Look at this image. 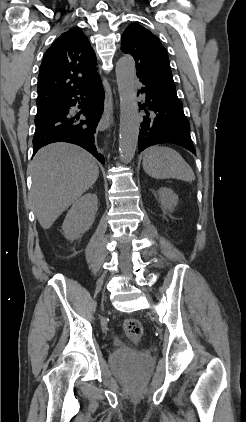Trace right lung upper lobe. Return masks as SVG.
I'll list each match as a JSON object with an SVG mask.
<instances>
[{
  "label": "right lung upper lobe",
  "instance_id": "obj_1",
  "mask_svg": "<svg viewBox=\"0 0 246 422\" xmlns=\"http://www.w3.org/2000/svg\"><path fill=\"white\" fill-rule=\"evenodd\" d=\"M96 61L81 29H70L58 37L46 51L39 69L37 110L90 84L98 76Z\"/></svg>",
  "mask_w": 246,
  "mask_h": 422
}]
</instances>
